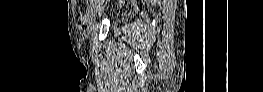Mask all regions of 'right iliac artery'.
Returning <instances> with one entry per match:
<instances>
[{
    "label": "right iliac artery",
    "instance_id": "right-iliac-artery-1",
    "mask_svg": "<svg viewBox=\"0 0 263 92\" xmlns=\"http://www.w3.org/2000/svg\"><path fill=\"white\" fill-rule=\"evenodd\" d=\"M93 2H94V0H89V1H88V4H89V5H92ZM84 19H87V13H84Z\"/></svg>",
    "mask_w": 263,
    "mask_h": 92
}]
</instances>
